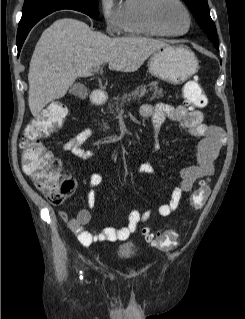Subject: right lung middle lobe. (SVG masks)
<instances>
[{
    "mask_svg": "<svg viewBox=\"0 0 245 319\" xmlns=\"http://www.w3.org/2000/svg\"><path fill=\"white\" fill-rule=\"evenodd\" d=\"M60 9L77 10L97 19L98 0H25L19 28L27 26L38 14L46 13L48 15L50 12Z\"/></svg>",
    "mask_w": 245,
    "mask_h": 319,
    "instance_id": "right-lung-middle-lobe-1",
    "label": "right lung middle lobe"
}]
</instances>
